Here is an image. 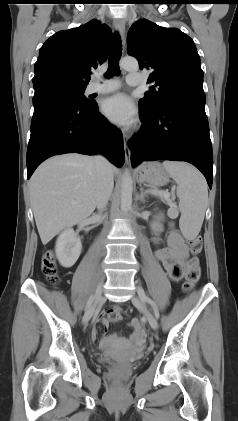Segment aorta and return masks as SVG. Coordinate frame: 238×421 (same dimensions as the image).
<instances>
[{"label": "aorta", "instance_id": "762f6f07", "mask_svg": "<svg viewBox=\"0 0 238 421\" xmlns=\"http://www.w3.org/2000/svg\"><path fill=\"white\" fill-rule=\"evenodd\" d=\"M120 67L127 71H135L138 69V61L133 57H125L120 63ZM133 182L130 174L125 172L121 186V211L128 212L132 206Z\"/></svg>", "mask_w": 238, "mask_h": 421}]
</instances>
